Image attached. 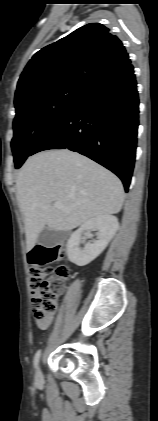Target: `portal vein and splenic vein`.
Wrapping results in <instances>:
<instances>
[{
	"instance_id": "18ae733b",
	"label": "portal vein and splenic vein",
	"mask_w": 158,
	"mask_h": 421,
	"mask_svg": "<svg viewBox=\"0 0 158 421\" xmlns=\"http://www.w3.org/2000/svg\"><path fill=\"white\" fill-rule=\"evenodd\" d=\"M53 206L58 209H65L61 202H54Z\"/></svg>"
}]
</instances>
